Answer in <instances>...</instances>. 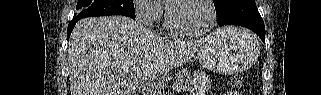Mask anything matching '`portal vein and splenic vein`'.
<instances>
[{
	"label": "portal vein and splenic vein",
	"mask_w": 321,
	"mask_h": 95,
	"mask_svg": "<svg viewBox=\"0 0 321 95\" xmlns=\"http://www.w3.org/2000/svg\"><path fill=\"white\" fill-rule=\"evenodd\" d=\"M163 85L161 84V83H158L157 85H156V87L157 88H161Z\"/></svg>",
	"instance_id": "1"
}]
</instances>
